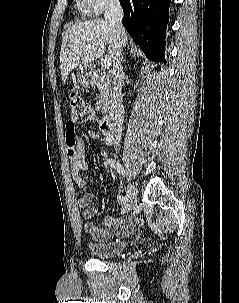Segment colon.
<instances>
[{"label": "colon", "instance_id": "5ec220e1", "mask_svg": "<svg viewBox=\"0 0 239 303\" xmlns=\"http://www.w3.org/2000/svg\"><path fill=\"white\" fill-rule=\"evenodd\" d=\"M91 112L88 101L78 92L72 91L69 94V122L67 127L74 128L75 121L87 117Z\"/></svg>", "mask_w": 239, "mask_h": 303}]
</instances>
